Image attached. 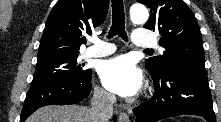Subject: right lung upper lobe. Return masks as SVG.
<instances>
[{
    "mask_svg": "<svg viewBox=\"0 0 221 122\" xmlns=\"http://www.w3.org/2000/svg\"><path fill=\"white\" fill-rule=\"evenodd\" d=\"M109 0H59L43 31L37 58L79 54L84 33L104 22Z\"/></svg>",
    "mask_w": 221,
    "mask_h": 122,
    "instance_id": "cb5924a9",
    "label": "right lung upper lobe"
}]
</instances>
